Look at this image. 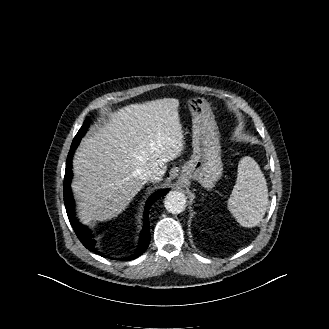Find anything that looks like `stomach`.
<instances>
[{"label":"stomach","instance_id":"stomach-1","mask_svg":"<svg viewBox=\"0 0 329 329\" xmlns=\"http://www.w3.org/2000/svg\"><path fill=\"white\" fill-rule=\"evenodd\" d=\"M192 115L193 155L183 167L181 178L195 180L210 190L222 176L221 146L218 127L210 104L204 98L188 100Z\"/></svg>","mask_w":329,"mask_h":329}]
</instances>
